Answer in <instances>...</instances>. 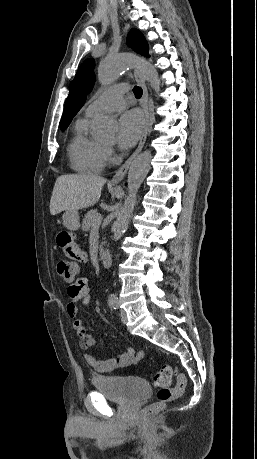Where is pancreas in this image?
<instances>
[{"label": "pancreas", "mask_w": 257, "mask_h": 459, "mask_svg": "<svg viewBox=\"0 0 257 459\" xmlns=\"http://www.w3.org/2000/svg\"><path fill=\"white\" fill-rule=\"evenodd\" d=\"M99 213L97 210H90L83 219L82 222V230L85 232H89L90 229L94 226V220L97 218Z\"/></svg>", "instance_id": "pancreas-1"}]
</instances>
